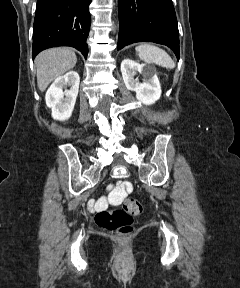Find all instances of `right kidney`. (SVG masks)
I'll use <instances>...</instances> for the list:
<instances>
[{
  "label": "right kidney",
  "mask_w": 240,
  "mask_h": 288,
  "mask_svg": "<svg viewBox=\"0 0 240 288\" xmlns=\"http://www.w3.org/2000/svg\"><path fill=\"white\" fill-rule=\"evenodd\" d=\"M79 82L78 73L69 71L55 79L49 87L45 101L46 105L51 108L54 119L63 121L70 118L78 95ZM64 85H69L70 89L63 92Z\"/></svg>",
  "instance_id": "ca27d5eb"
}]
</instances>
